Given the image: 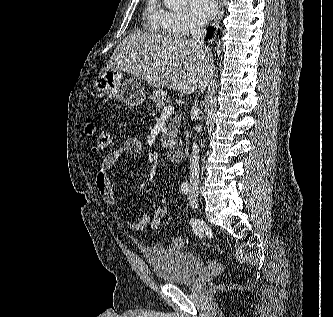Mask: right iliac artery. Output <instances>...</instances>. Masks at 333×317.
Listing matches in <instances>:
<instances>
[{"label": "right iliac artery", "mask_w": 333, "mask_h": 317, "mask_svg": "<svg viewBox=\"0 0 333 317\" xmlns=\"http://www.w3.org/2000/svg\"><path fill=\"white\" fill-rule=\"evenodd\" d=\"M180 189H181V192H182L183 194H188V192L190 191V187H189V185L186 184V183L182 184ZM191 225H192V227H193V230H194L195 234H196L198 237L202 238V237H203V230H202V228L198 225L197 221L194 220V219H192V220H191Z\"/></svg>", "instance_id": "1"}]
</instances>
